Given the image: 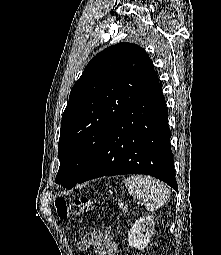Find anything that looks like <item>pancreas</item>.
I'll return each instance as SVG.
<instances>
[{
	"mask_svg": "<svg viewBox=\"0 0 221 255\" xmlns=\"http://www.w3.org/2000/svg\"><path fill=\"white\" fill-rule=\"evenodd\" d=\"M120 206L123 209V211L128 212V205H125L124 207H122V204H121Z\"/></svg>",
	"mask_w": 221,
	"mask_h": 255,
	"instance_id": "obj_1",
	"label": "pancreas"
}]
</instances>
